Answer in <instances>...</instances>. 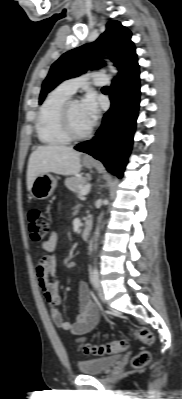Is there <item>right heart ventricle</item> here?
Masks as SVG:
<instances>
[{"mask_svg":"<svg viewBox=\"0 0 182 399\" xmlns=\"http://www.w3.org/2000/svg\"><path fill=\"white\" fill-rule=\"evenodd\" d=\"M71 95L61 87H57L44 100L36 121L37 135L42 143L55 146L70 141L63 133L60 114Z\"/></svg>","mask_w":182,"mask_h":399,"instance_id":"right-heart-ventricle-1","label":"right heart ventricle"}]
</instances>
